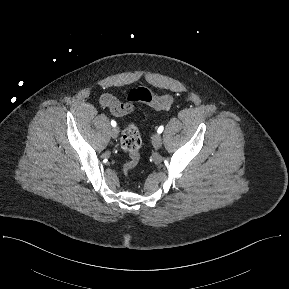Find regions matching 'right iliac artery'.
I'll return each instance as SVG.
<instances>
[{
  "label": "right iliac artery",
  "mask_w": 289,
  "mask_h": 289,
  "mask_svg": "<svg viewBox=\"0 0 289 289\" xmlns=\"http://www.w3.org/2000/svg\"><path fill=\"white\" fill-rule=\"evenodd\" d=\"M111 125H112L113 127H116V122H115L114 120H111Z\"/></svg>",
  "instance_id": "1"
}]
</instances>
